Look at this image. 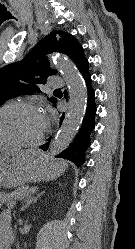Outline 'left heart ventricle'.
Returning a JSON list of instances; mask_svg holds the SVG:
<instances>
[{
	"label": "left heart ventricle",
	"instance_id": "obj_1",
	"mask_svg": "<svg viewBox=\"0 0 135 249\" xmlns=\"http://www.w3.org/2000/svg\"><path fill=\"white\" fill-rule=\"evenodd\" d=\"M42 112L13 106L0 113V137L30 141L37 138L44 127Z\"/></svg>",
	"mask_w": 135,
	"mask_h": 249
}]
</instances>
